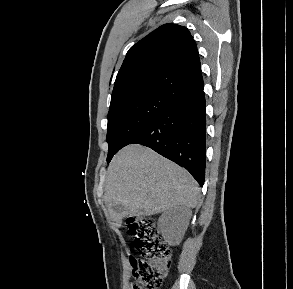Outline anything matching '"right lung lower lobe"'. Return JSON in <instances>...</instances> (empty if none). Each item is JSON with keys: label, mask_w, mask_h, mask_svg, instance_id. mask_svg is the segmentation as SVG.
I'll return each mask as SVG.
<instances>
[{"label": "right lung lower lobe", "mask_w": 293, "mask_h": 289, "mask_svg": "<svg viewBox=\"0 0 293 289\" xmlns=\"http://www.w3.org/2000/svg\"><path fill=\"white\" fill-rule=\"evenodd\" d=\"M205 94L174 103L137 132L128 144H142L186 168L203 186L206 166Z\"/></svg>", "instance_id": "1"}]
</instances>
